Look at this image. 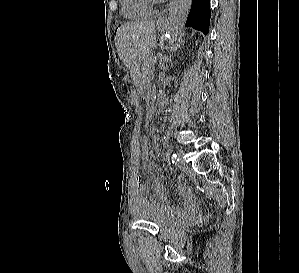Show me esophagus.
<instances>
[{
	"instance_id": "34e87169",
	"label": "esophagus",
	"mask_w": 299,
	"mask_h": 273,
	"mask_svg": "<svg viewBox=\"0 0 299 273\" xmlns=\"http://www.w3.org/2000/svg\"><path fill=\"white\" fill-rule=\"evenodd\" d=\"M166 21H167L166 16H162L159 18L158 23L163 24V23H166Z\"/></svg>"
}]
</instances>
